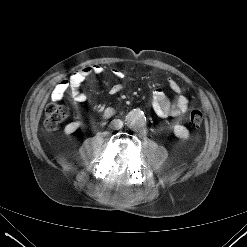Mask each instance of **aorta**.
<instances>
[{"instance_id":"aorta-1","label":"aorta","mask_w":247,"mask_h":247,"mask_svg":"<svg viewBox=\"0 0 247 247\" xmlns=\"http://www.w3.org/2000/svg\"><path fill=\"white\" fill-rule=\"evenodd\" d=\"M145 115L139 109L131 110L126 116V124L135 131L142 130L145 126Z\"/></svg>"}]
</instances>
